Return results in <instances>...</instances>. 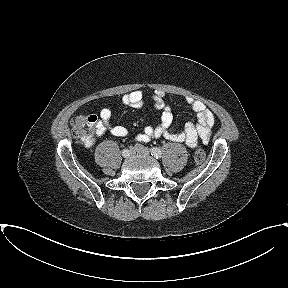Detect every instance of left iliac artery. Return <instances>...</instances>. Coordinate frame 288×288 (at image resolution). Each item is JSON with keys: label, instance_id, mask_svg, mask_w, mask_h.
Wrapping results in <instances>:
<instances>
[{"label": "left iliac artery", "instance_id": "44dca946", "mask_svg": "<svg viewBox=\"0 0 288 288\" xmlns=\"http://www.w3.org/2000/svg\"><path fill=\"white\" fill-rule=\"evenodd\" d=\"M151 155L154 156L155 158H160L161 155H162V152H161V150L159 148L153 147L151 149Z\"/></svg>", "mask_w": 288, "mask_h": 288}]
</instances>
